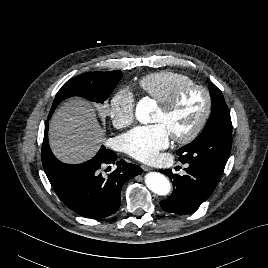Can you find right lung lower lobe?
<instances>
[{
    "mask_svg": "<svg viewBox=\"0 0 268 268\" xmlns=\"http://www.w3.org/2000/svg\"><path fill=\"white\" fill-rule=\"evenodd\" d=\"M48 120L44 136H48ZM116 160L113 151L102 147L88 162L78 165L62 163L60 175L63 184L56 194L69 209L83 217L97 219L113 214L120 206L123 184L142 173L138 165ZM109 164H116V169L108 175L102 174L101 169Z\"/></svg>",
    "mask_w": 268,
    "mask_h": 268,
    "instance_id": "1",
    "label": "right lung lower lobe"
}]
</instances>
